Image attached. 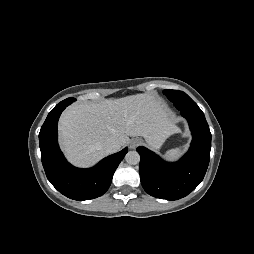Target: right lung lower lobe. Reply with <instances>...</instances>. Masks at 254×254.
<instances>
[{"label":"right lung lower lobe","instance_id":"right-lung-lower-lobe-1","mask_svg":"<svg viewBox=\"0 0 254 254\" xmlns=\"http://www.w3.org/2000/svg\"><path fill=\"white\" fill-rule=\"evenodd\" d=\"M75 101L67 98L48 114L39 133L42 164L48 180L63 195L74 200H90L103 195L113 174L128 152L127 148L110 155L90 169L72 166L64 158L57 142V123L62 111Z\"/></svg>","mask_w":254,"mask_h":254}]
</instances>
